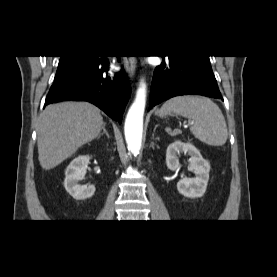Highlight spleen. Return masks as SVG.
Instances as JSON below:
<instances>
[{
  "label": "spleen",
  "mask_w": 277,
  "mask_h": 277,
  "mask_svg": "<svg viewBox=\"0 0 277 277\" xmlns=\"http://www.w3.org/2000/svg\"><path fill=\"white\" fill-rule=\"evenodd\" d=\"M175 113L194 121L190 131L200 141L211 146L226 143L228 130L220 108L209 98L193 95L177 96L166 101L160 115Z\"/></svg>",
  "instance_id": "spleen-1"
}]
</instances>
